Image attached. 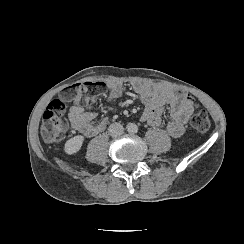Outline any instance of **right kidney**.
<instances>
[{"mask_svg": "<svg viewBox=\"0 0 244 244\" xmlns=\"http://www.w3.org/2000/svg\"><path fill=\"white\" fill-rule=\"evenodd\" d=\"M84 141H85V136L81 134L71 137L64 144V148H63L64 153L66 155H75L77 152L81 150Z\"/></svg>", "mask_w": 244, "mask_h": 244, "instance_id": "1", "label": "right kidney"}]
</instances>
